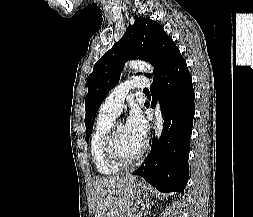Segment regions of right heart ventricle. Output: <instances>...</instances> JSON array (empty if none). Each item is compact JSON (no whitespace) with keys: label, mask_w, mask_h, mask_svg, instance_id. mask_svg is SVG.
<instances>
[{"label":"right heart ventricle","mask_w":253,"mask_h":217,"mask_svg":"<svg viewBox=\"0 0 253 217\" xmlns=\"http://www.w3.org/2000/svg\"><path fill=\"white\" fill-rule=\"evenodd\" d=\"M116 115L100 110L90 142L91 157L97 171L103 175H115L121 167L110 163L104 154V141Z\"/></svg>","instance_id":"obj_1"}]
</instances>
